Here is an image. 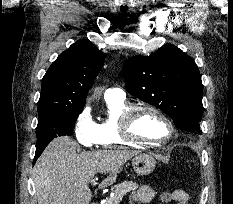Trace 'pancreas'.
Masks as SVG:
<instances>
[{"label":"pancreas","instance_id":"1","mask_svg":"<svg viewBox=\"0 0 233 204\" xmlns=\"http://www.w3.org/2000/svg\"><path fill=\"white\" fill-rule=\"evenodd\" d=\"M138 184L132 181H124L112 187L113 196L109 197L104 204H119L124 195L138 189Z\"/></svg>","mask_w":233,"mask_h":204}]
</instances>
